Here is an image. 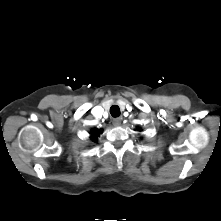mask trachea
Wrapping results in <instances>:
<instances>
[{
  "label": "trachea",
  "instance_id": "1",
  "mask_svg": "<svg viewBox=\"0 0 221 221\" xmlns=\"http://www.w3.org/2000/svg\"><path fill=\"white\" fill-rule=\"evenodd\" d=\"M110 114L112 115V117L120 116V108L117 105H113L110 108Z\"/></svg>",
  "mask_w": 221,
  "mask_h": 221
}]
</instances>
